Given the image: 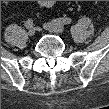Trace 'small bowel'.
I'll use <instances>...</instances> for the list:
<instances>
[{"instance_id": "small-bowel-1", "label": "small bowel", "mask_w": 109, "mask_h": 109, "mask_svg": "<svg viewBox=\"0 0 109 109\" xmlns=\"http://www.w3.org/2000/svg\"><path fill=\"white\" fill-rule=\"evenodd\" d=\"M39 5L43 8H51L54 5V1H39Z\"/></svg>"}]
</instances>
